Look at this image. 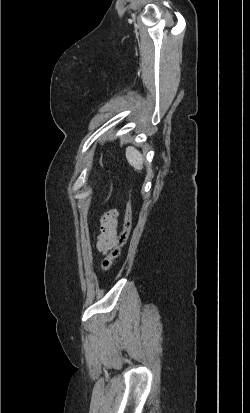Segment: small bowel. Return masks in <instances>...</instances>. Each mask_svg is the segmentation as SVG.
Instances as JSON below:
<instances>
[{
  "instance_id": "1",
  "label": "small bowel",
  "mask_w": 250,
  "mask_h": 413,
  "mask_svg": "<svg viewBox=\"0 0 250 413\" xmlns=\"http://www.w3.org/2000/svg\"><path fill=\"white\" fill-rule=\"evenodd\" d=\"M116 212L104 215L100 220V231L97 235L96 249L99 254L107 256L116 244L118 220Z\"/></svg>"
}]
</instances>
